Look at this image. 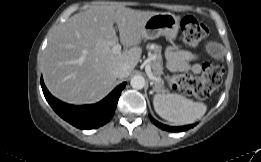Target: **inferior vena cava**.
I'll use <instances>...</instances> for the list:
<instances>
[{"label":"inferior vena cava","instance_id":"1","mask_svg":"<svg viewBox=\"0 0 261 162\" xmlns=\"http://www.w3.org/2000/svg\"><path fill=\"white\" fill-rule=\"evenodd\" d=\"M113 74L116 78H125L130 74L129 66L127 64H121L114 68Z\"/></svg>","mask_w":261,"mask_h":162}]
</instances>
